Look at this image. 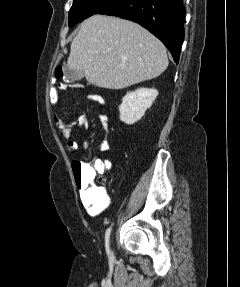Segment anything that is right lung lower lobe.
<instances>
[{"instance_id": "obj_1", "label": "right lung lower lobe", "mask_w": 240, "mask_h": 287, "mask_svg": "<svg viewBox=\"0 0 240 287\" xmlns=\"http://www.w3.org/2000/svg\"><path fill=\"white\" fill-rule=\"evenodd\" d=\"M185 12L182 0H107L94 14L117 16L142 25L164 43L178 63Z\"/></svg>"}]
</instances>
